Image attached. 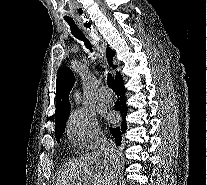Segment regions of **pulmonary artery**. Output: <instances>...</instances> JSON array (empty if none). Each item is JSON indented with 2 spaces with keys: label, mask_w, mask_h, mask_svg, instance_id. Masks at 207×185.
Masks as SVG:
<instances>
[{
  "label": "pulmonary artery",
  "mask_w": 207,
  "mask_h": 185,
  "mask_svg": "<svg viewBox=\"0 0 207 185\" xmlns=\"http://www.w3.org/2000/svg\"><path fill=\"white\" fill-rule=\"evenodd\" d=\"M97 98L100 102L109 103L112 101V93L100 89L97 95Z\"/></svg>",
  "instance_id": "e3ab8cb5"
}]
</instances>
